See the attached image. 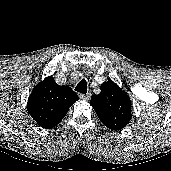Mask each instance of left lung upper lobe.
<instances>
[{
  "instance_id": "5c2ea615",
  "label": "left lung upper lobe",
  "mask_w": 171,
  "mask_h": 171,
  "mask_svg": "<svg viewBox=\"0 0 171 171\" xmlns=\"http://www.w3.org/2000/svg\"><path fill=\"white\" fill-rule=\"evenodd\" d=\"M90 104L101 122L111 130H121L131 119L130 99L112 80L101 85L100 94L93 95Z\"/></svg>"
}]
</instances>
